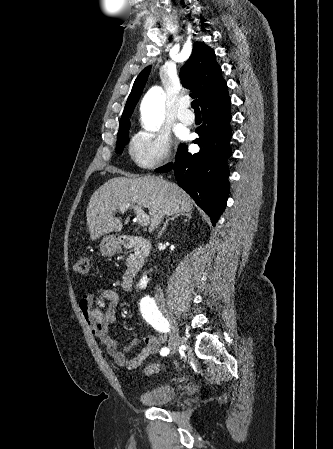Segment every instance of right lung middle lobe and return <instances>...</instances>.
Here are the masks:
<instances>
[{
  "instance_id": "1",
  "label": "right lung middle lobe",
  "mask_w": 333,
  "mask_h": 449,
  "mask_svg": "<svg viewBox=\"0 0 333 449\" xmlns=\"http://www.w3.org/2000/svg\"><path fill=\"white\" fill-rule=\"evenodd\" d=\"M130 127V121L128 119H122L120 120V128L118 132L117 137V144H116V153L121 154L124 146L128 143L127 137Z\"/></svg>"
}]
</instances>
